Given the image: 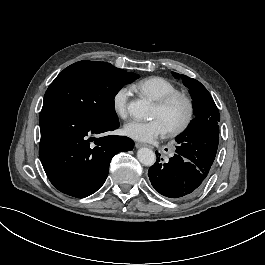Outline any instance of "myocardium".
I'll list each match as a JSON object with an SVG mask.
<instances>
[{
    "mask_svg": "<svg viewBox=\"0 0 265 265\" xmlns=\"http://www.w3.org/2000/svg\"><path fill=\"white\" fill-rule=\"evenodd\" d=\"M175 101H181L184 103L186 107V116L180 125L167 129V133L171 136H177L184 133L192 124L195 116V105L192 98L179 91L161 98L156 102L155 106L159 112H164Z\"/></svg>",
    "mask_w": 265,
    "mask_h": 265,
    "instance_id": "f54148a6",
    "label": "myocardium"
}]
</instances>
